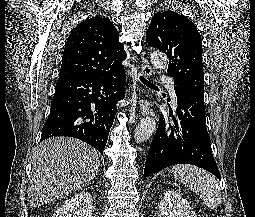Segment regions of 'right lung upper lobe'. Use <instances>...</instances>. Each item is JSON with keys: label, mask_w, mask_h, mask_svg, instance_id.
<instances>
[{"label": "right lung upper lobe", "mask_w": 255, "mask_h": 217, "mask_svg": "<svg viewBox=\"0 0 255 217\" xmlns=\"http://www.w3.org/2000/svg\"><path fill=\"white\" fill-rule=\"evenodd\" d=\"M113 23L102 17L83 21L69 35L59 78L103 77L124 71V45Z\"/></svg>", "instance_id": "cb5924a9"}]
</instances>
